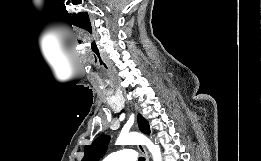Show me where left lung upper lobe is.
Instances as JSON below:
<instances>
[{
  "label": "left lung upper lobe",
  "instance_id": "left-lung-upper-lobe-1",
  "mask_svg": "<svg viewBox=\"0 0 261 161\" xmlns=\"http://www.w3.org/2000/svg\"><path fill=\"white\" fill-rule=\"evenodd\" d=\"M139 129L145 133L150 134V128L147 121L139 114L137 116ZM110 137L107 135L99 136L91 145L85 146V155L82 161H99L100 157L106 152Z\"/></svg>",
  "mask_w": 261,
  "mask_h": 161
}]
</instances>
